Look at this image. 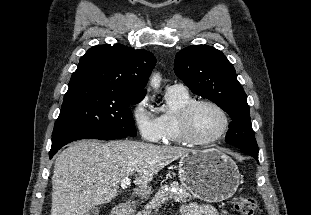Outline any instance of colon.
Returning a JSON list of instances; mask_svg holds the SVG:
<instances>
[{"instance_id": "obj_1", "label": "colon", "mask_w": 311, "mask_h": 215, "mask_svg": "<svg viewBox=\"0 0 311 215\" xmlns=\"http://www.w3.org/2000/svg\"><path fill=\"white\" fill-rule=\"evenodd\" d=\"M233 208L240 215H253L257 208V200L252 196H237L232 202Z\"/></svg>"}]
</instances>
